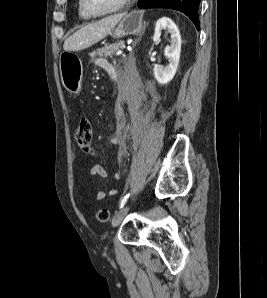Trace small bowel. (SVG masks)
I'll return each instance as SVG.
<instances>
[{"label":"small bowel","mask_w":267,"mask_h":298,"mask_svg":"<svg viewBox=\"0 0 267 298\" xmlns=\"http://www.w3.org/2000/svg\"><path fill=\"white\" fill-rule=\"evenodd\" d=\"M94 64L100 67L101 69H103L104 71H106L109 75H110V72L114 69L112 64L105 58H96L94 60ZM137 111H138L137 102L133 100L130 106V114L135 115ZM91 174L101 179H107L108 177L107 170L102 165H99V164H96L91 168ZM116 193H117V189L115 188H112L108 191L109 195H115ZM106 195H107V192L103 190H99L96 194V199L98 201H101L105 199Z\"/></svg>","instance_id":"1"}]
</instances>
